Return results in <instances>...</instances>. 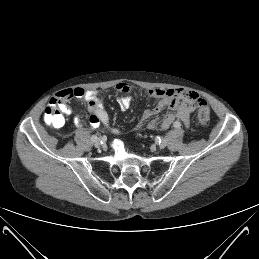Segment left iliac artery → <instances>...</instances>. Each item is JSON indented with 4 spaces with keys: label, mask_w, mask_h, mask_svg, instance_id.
I'll use <instances>...</instances> for the list:
<instances>
[{
    "label": "left iliac artery",
    "mask_w": 259,
    "mask_h": 259,
    "mask_svg": "<svg viewBox=\"0 0 259 259\" xmlns=\"http://www.w3.org/2000/svg\"><path fill=\"white\" fill-rule=\"evenodd\" d=\"M173 126H174L175 128H180L181 124H180L179 122H175V123L173 124Z\"/></svg>",
    "instance_id": "obj_1"
}]
</instances>
